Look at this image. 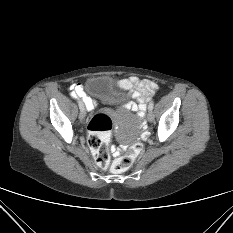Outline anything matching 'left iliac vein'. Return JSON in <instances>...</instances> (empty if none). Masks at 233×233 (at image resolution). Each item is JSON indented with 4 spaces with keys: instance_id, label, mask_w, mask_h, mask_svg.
<instances>
[{
    "instance_id": "4c4485c4",
    "label": "left iliac vein",
    "mask_w": 233,
    "mask_h": 233,
    "mask_svg": "<svg viewBox=\"0 0 233 233\" xmlns=\"http://www.w3.org/2000/svg\"><path fill=\"white\" fill-rule=\"evenodd\" d=\"M147 119L149 122H152L154 120V115L151 110H149L147 113Z\"/></svg>"
}]
</instances>
